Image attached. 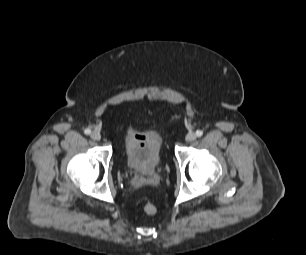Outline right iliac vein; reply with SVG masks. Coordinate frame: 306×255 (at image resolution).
<instances>
[{"label":"right iliac vein","mask_w":306,"mask_h":255,"mask_svg":"<svg viewBox=\"0 0 306 255\" xmlns=\"http://www.w3.org/2000/svg\"><path fill=\"white\" fill-rule=\"evenodd\" d=\"M90 136L95 141H99L101 139V134L96 130L92 131Z\"/></svg>","instance_id":"1"}]
</instances>
